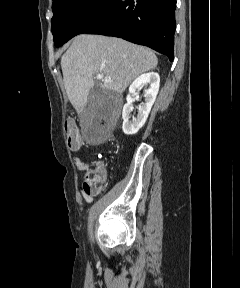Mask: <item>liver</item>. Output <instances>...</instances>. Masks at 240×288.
Returning a JSON list of instances; mask_svg holds the SVG:
<instances>
[{"mask_svg":"<svg viewBox=\"0 0 240 288\" xmlns=\"http://www.w3.org/2000/svg\"><path fill=\"white\" fill-rule=\"evenodd\" d=\"M157 64V56L150 49L102 35L76 36L61 58L65 90L79 114L95 86V75L101 73L111 80L97 86L121 94L135 78Z\"/></svg>","mask_w":240,"mask_h":288,"instance_id":"obj_1","label":"liver"}]
</instances>
